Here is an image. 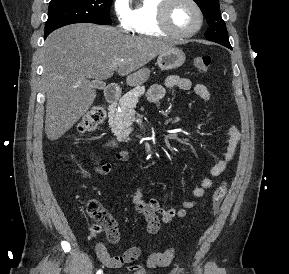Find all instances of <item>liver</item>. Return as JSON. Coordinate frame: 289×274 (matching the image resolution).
Listing matches in <instances>:
<instances>
[{
  "label": "liver",
  "mask_w": 289,
  "mask_h": 274,
  "mask_svg": "<svg viewBox=\"0 0 289 274\" xmlns=\"http://www.w3.org/2000/svg\"><path fill=\"white\" fill-rule=\"evenodd\" d=\"M172 48L158 39L129 36L114 27L91 23L52 32L43 47L47 138L59 139L85 115L96 97L95 82L117 71L127 76L128 85H140L150 75L142 67Z\"/></svg>",
  "instance_id": "6515ba94"
}]
</instances>
